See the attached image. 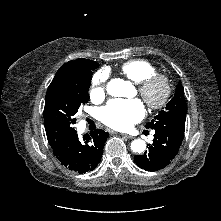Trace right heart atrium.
I'll return each mask as SVG.
<instances>
[{"label":"right heart atrium","mask_w":221,"mask_h":221,"mask_svg":"<svg viewBox=\"0 0 221 221\" xmlns=\"http://www.w3.org/2000/svg\"><path fill=\"white\" fill-rule=\"evenodd\" d=\"M106 82L107 74L103 71H100L95 74L93 78V87L91 90V96L95 99H101L104 97L106 92Z\"/></svg>","instance_id":"right-heart-atrium-1"}]
</instances>
